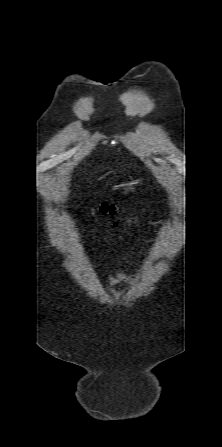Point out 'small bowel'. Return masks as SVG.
I'll list each match as a JSON object with an SVG mask.
<instances>
[{"instance_id":"c3829d8e","label":"small bowel","mask_w":222,"mask_h":447,"mask_svg":"<svg viewBox=\"0 0 222 447\" xmlns=\"http://www.w3.org/2000/svg\"><path fill=\"white\" fill-rule=\"evenodd\" d=\"M107 282L110 286L130 285L132 283L130 277L121 271L110 275L107 278Z\"/></svg>"}]
</instances>
